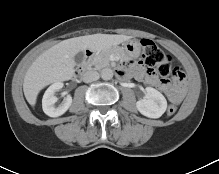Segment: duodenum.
<instances>
[{"instance_id": "410a0bca", "label": "duodenum", "mask_w": 219, "mask_h": 174, "mask_svg": "<svg viewBox=\"0 0 219 174\" xmlns=\"http://www.w3.org/2000/svg\"><path fill=\"white\" fill-rule=\"evenodd\" d=\"M94 53L95 52L91 49H88L85 51L84 60H83L82 65L79 66L74 72L75 77H80L85 72L86 67H87L90 59L94 56Z\"/></svg>"}]
</instances>
